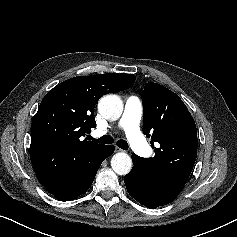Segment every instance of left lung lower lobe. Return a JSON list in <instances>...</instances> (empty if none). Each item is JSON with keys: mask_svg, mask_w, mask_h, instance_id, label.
<instances>
[{"mask_svg": "<svg viewBox=\"0 0 237 237\" xmlns=\"http://www.w3.org/2000/svg\"><path fill=\"white\" fill-rule=\"evenodd\" d=\"M133 168L125 176L128 193L140 204L155 209L172 202L183 186L162 184L154 177L143 174L140 157L132 155Z\"/></svg>", "mask_w": 237, "mask_h": 237, "instance_id": "obj_1", "label": "left lung lower lobe"}]
</instances>
